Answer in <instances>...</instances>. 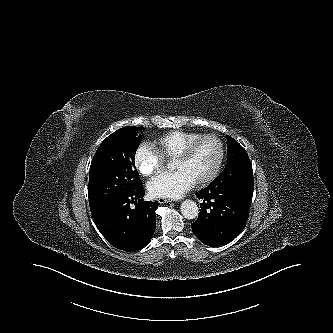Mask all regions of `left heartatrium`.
<instances>
[{
	"mask_svg": "<svg viewBox=\"0 0 333 333\" xmlns=\"http://www.w3.org/2000/svg\"><path fill=\"white\" fill-rule=\"evenodd\" d=\"M196 182L185 171L163 173L148 183V191L154 197L178 199L190 190Z\"/></svg>",
	"mask_w": 333,
	"mask_h": 333,
	"instance_id": "left-heart-atrium-1",
	"label": "left heart atrium"
}]
</instances>
